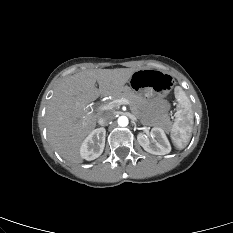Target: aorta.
Returning a JSON list of instances; mask_svg holds the SVG:
<instances>
[{"label":"aorta","mask_w":233,"mask_h":233,"mask_svg":"<svg viewBox=\"0 0 233 233\" xmlns=\"http://www.w3.org/2000/svg\"><path fill=\"white\" fill-rule=\"evenodd\" d=\"M129 123V120L126 116H120L118 118V125L121 126V127H125L127 126Z\"/></svg>","instance_id":"1"}]
</instances>
